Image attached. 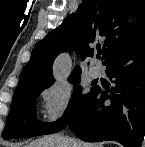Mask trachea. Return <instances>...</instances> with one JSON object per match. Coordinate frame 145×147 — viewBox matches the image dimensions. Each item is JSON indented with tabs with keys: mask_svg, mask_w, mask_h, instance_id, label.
<instances>
[{
	"mask_svg": "<svg viewBox=\"0 0 145 147\" xmlns=\"http://www.w3.org/2000/svg\"><path fill=\"white\" fill-rule=\"evenodd\" d=\"M102 54V51H98L97 58H100V55Z\"/></svg>",
	"mask_w": 145,
	"mask_h": 147,
	"instance_id": "obj_1",
	"label": "trachea"
}]
</instances>
